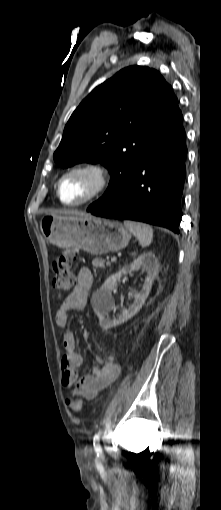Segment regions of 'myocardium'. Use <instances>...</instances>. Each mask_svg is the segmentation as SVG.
Returning <instances> with one entry per match:
<instances>
[{
  "label": "myocardium",
  "instance_id": "f54148a6",
  "mask_svg": "<svg viewBox=\"0 0 221 510\" xmlns=\"http://www.w3.org/2000/svg\"><path fill=\"white\" fill-rule=\"evenodd\" d=\"M88 174L93 178L94 184L90 193L83 199L76 202H66L62 198V185L64 181L74 174ZM110 184V174L107 168L96 161H87L70 167L59 179L57 185V196L59 201L68 207H77L88 204L101 197Z\"/></svg>",
  "mask_w": 221,
  "mask_h": 510
}]
</instances>
